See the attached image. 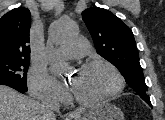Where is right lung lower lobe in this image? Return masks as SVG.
Masks as SVG:
<instances>
[{
  "mask_svg": "<svg viewBox=\"0 0 165 120\" xmlns=\"http://www.w3.org/2000/svg\"><path fill=\"white\" fill-rule=\"evenodd\" d=\"M10 87L16 89L17 91H19V92H21V93H25V92H26L25 90L20 89V88H18V87H14V86H10Z\"/></svg>",
  "mask_w": 165,
  "mask_h": 120,
  "instance_id": "right-lung-lower-lobe-1",
  "label": "right lung lower lobe"
}]
</instances>
